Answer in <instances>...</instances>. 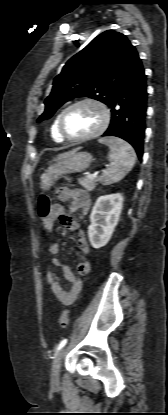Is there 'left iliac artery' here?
Wrapping results in <instances>:
<instances>
[{
  "label": "left iliac artery",
  "instance_id": "44dca946",
  "mask_svg": "<svg viewBox=\"0 0 168 415\" xmlns=\"http://www.w3.org/2000/svg\"><path fill=\"white\" fill-rule=\"evenodd\" d=\"M66 343H67V339H63L60 343H59V345H58V347L56 348V353H55V355L66 345Z\"/></svg>",
  "mask_w": 168,
  "mask_h": 415
}]
</instances>
